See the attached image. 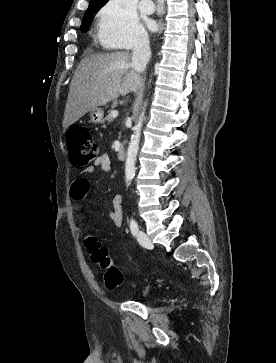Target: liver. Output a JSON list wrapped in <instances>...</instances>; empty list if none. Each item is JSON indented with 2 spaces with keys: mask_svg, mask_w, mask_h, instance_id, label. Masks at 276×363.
<instances>
[{
  "mask_svg": "<svg viewBox=\"0 0 276 363\" xmlns=\"http://www.w3.org/2000/svg\"><path fill=\"white\" fill-rule=\"evenodd\" d=\"M141 82L128 52L96 54L83 59L70 84L63 128L120 95L137 92Z\"/></svg>",
  "mask_w": 276,
  "mask_h": 363,
  "instance_id": "1",
  "label": "liver"
}]
</instances>
